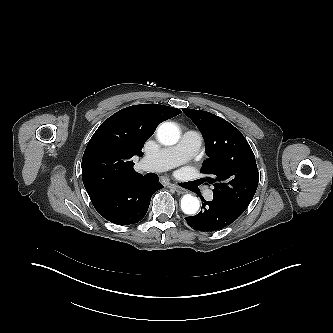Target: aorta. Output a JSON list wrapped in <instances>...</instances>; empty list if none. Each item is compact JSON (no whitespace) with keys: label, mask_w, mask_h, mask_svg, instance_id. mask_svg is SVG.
Masks as SVG:
<instances>
[{"label":"aorta","mask_w":333,"mask_h":333,"mask_svg":"<svg viewBox=\"0 0 333 333\" xmlns=\"http://www.w3.org/2000/svg\"><path fill=\"white\" fill-rule=\"evenodd\" d=\"M158 140L164 145H174L180 138L178 126L173 122L162 123L157 130ZM200 203L197 197L186 194L181 199V209L185 214L193 215L199 209Z\"/></svg>","instance_id":"aorta-1"}]
</instances>
